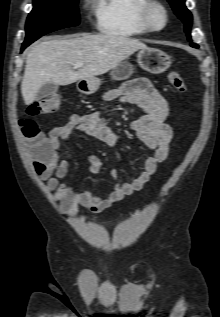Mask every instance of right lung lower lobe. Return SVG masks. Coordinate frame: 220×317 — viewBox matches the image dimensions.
Instances as JSON below:
<instances>
[{
	"label": "right lung lower lobe",
	"instance_id": "98d812e1",
	"mask_svg": "<svg viewBox=\"0 0 220 317\" xmlns=\"http://www.w3.org/2000/svg\"><path fill=\"white\" fill-rule=\"evenodd\" d=\"M32 42H24L21 48V51H23L28 45H30Z\"/></svg>",
	"mask_w": 220,
	"mask_h": 317
}]
</instances>
